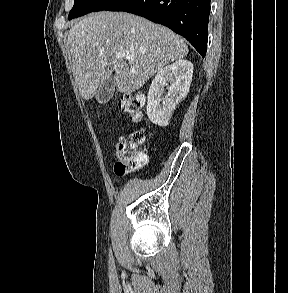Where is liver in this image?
<instances>
[{"instance_id":"6515ba94","label":"liver","mask_w":288,"mask_h":293,"mask_svg":"<svg viewBox=\"0 0 288 293\" xmlns=\"http://www.w3.org/2000/svg\"><path fill=\"white\" fill-rule=\"evenodd\" d=\"M67 43L74 79L83 99L115 71L120 93L140 89L156 72L188 54L184 40L170 29L126 12L101 11L80 19L70 29ZM121 52L133 54L128 61Z\"/></svg>"}]
</instances>
